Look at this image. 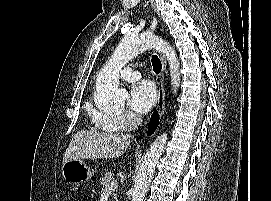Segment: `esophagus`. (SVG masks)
Returning <instances> with one entry per match:
<instances>
[{
    "instance_id": "esophagus-1",
    "label": "esophagus",
    "mask_w": 271,
    "mask_h": 201,
    "mask_svg": "<svg viewBox=\"0 0 271 201\" xmlns=\"http://www.w3.org/2000/svg\"><path fill=\"white\" fill-rule=\"evenodd\" d=\"M160 60L162 64V74L159 81V89H158V104H157V113L161 117L165 110V85H164V74L167 68V59L164 54H160Z\"/></svg>"
}]
</instances>
